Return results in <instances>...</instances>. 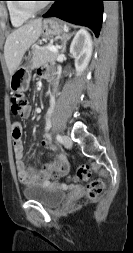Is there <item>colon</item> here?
<instances>
[{
    "instance_id": "1",
    "label": "colon",
    "mask_w": 133,
    "mask_h": 253,
    "mask_svg": "<svg viewBox=\"0 0 133 253\" xmlns=\"http://www.w3.org/2000/svg\"><path fill=\"white\" fill-rule=\"evenodd\" d=\"M11 111L14 115L22 116L27 108V99L24 94L16 93L11 96ZM91 176V169L88 165H81L77 168L73 179L77 182L88 181ZM61 177L60 173L55 174V178ZM105 187L104 181L100 179L93 180L86 187V194L89 199L97 198Z\"/></svg>"
}]
</instances>
